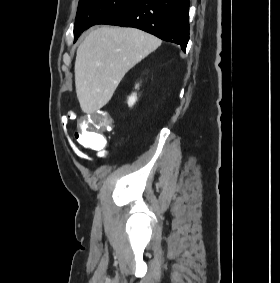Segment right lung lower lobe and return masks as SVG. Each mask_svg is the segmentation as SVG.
Instances as JSON below:
<instances>
[{
    "mask_svg": "<svg viewBox=\"0 0 280 283\" xmlns=\"http://www.w3.org/2000/svg\"><path fill=\"white\" fill-rule=\"evenodd\" d=\"M99 24L134 27L176 43L189 41V0H133Z\"/></svg>",
    "mask_w": 280,
    "mask_h": 283,
    "instance_id": "right-lung-lower-lobe-1",
    "label": "right lung lower lobe"
}]
</instances>
